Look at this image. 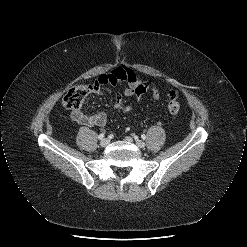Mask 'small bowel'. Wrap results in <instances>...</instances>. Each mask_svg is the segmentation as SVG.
<instances>
[{
	"label": "small bowel",
	"mask_w": 247,
	"mask_h": 247,
	"mask_svg": "<svg viewBox=\"0 0 247 247\" xmlns=\"http://www.w3.org/2000/svg\"><path fill=\"white\" fill-rule=\"evenodd\" d=\"M106 85H122L124 94L136 99L140 98L147 91L156 100L160 97L155 84L142 81L136 72L126 67H117L108 73L100 75L94 84L95 92L103 94V87ZM71 118L78 124L88 127H101L107 123V115L104 112L87 115L78 111L73 112Z\"/></svg>",
	"instance_id": "small-bowel-1"
}]
</instances>
